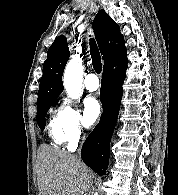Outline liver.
I'll return each instance as SVG.
<instances>
[{
    "label": "liver",
    "instance_id": "liver-1",
    "mask_svg": "<svg viewBox=\"0 0 178 195\" xmlns=\"http://www.w3.org/2000/svg\"><path fill=\"white\" fill-rule=\"evenodd\" d=\"M37 159L39 195H83L93 188L90 169L75 155L41 145Z\"/></svg>",
    "mask_w": 178,
    "mask_h": 195
}]
</instances>
